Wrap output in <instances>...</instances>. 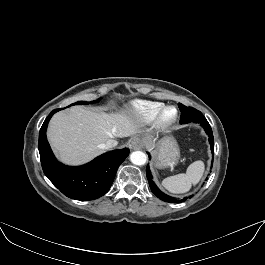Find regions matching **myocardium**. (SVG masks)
I'll list each match as a JSON object with an SVG mask.
<instances>
[{"label":"myocardium","instance_id":"f54148a6","mask_svg":"<svg viewBox=\"0 0 265 265\" xmlns=\"http://www.w3.org/2000/svg\"><path fill=\"white\" fill-rule=\"evenodd\" d=\"M168 111H173L170 117L166 114ZM178 119V110L174 106H163L154 119V125L158 130H165L171 127Z\"/></svg>","mask_w":265,"mask_h":265}]
</instances>
